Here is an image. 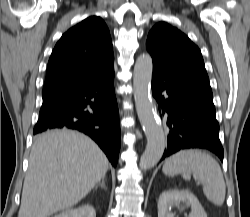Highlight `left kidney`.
<instances>
[{
    "label": "left kidney",
    "mask_w": 250,
    "mask_h": 217,
    "mask_svg": "<svg viewBox=\"0 0 250 217\" xmlns=\"http://www.w3.org/2000/svg\"><path fill=\"white\" fill-rule=\"evenodd\" d=\"M181 202L191 206L189 217H207L197 197L189 190L170 189L162 192L158 200V217H175L174 206Z\"/></svg>",
    "instance_id": "1"
}]
</instances>
